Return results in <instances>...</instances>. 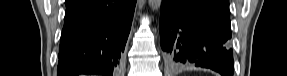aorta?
I'll return each mask as SVG.
<instances>
[{
  "label": "aorta",
  "instance_id": "762f6f07",
  "mask_svg": "<svg viewBox=\"0 0 287 76\" xmlns=\"http://www.w3.org/2000/svg\"><path fill=\"white\" fill-rule=\"evenodd\" d=\"M161 0H149V5L153 11H158L161 7Z\"/></svg>",
  "mask_w": 287,
  "mask_h": 76
}]
</instances>
